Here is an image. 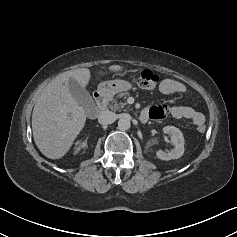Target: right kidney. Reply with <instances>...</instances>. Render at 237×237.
Here are the masks:
<instances>
[{
  "label": "right kidney",
  "instance_id": "ca27d5eb",
  "mask_svg": "<svg viewBox=\"0 0 237 237\" xmlns=\"http://www.w3.org/2000/svg\"><path fill=\"white\" fill-rule=\"evenodd\" d=\"M76 145H78V143H76ZM87 147V141L85 140L84 142H82L81 144L78 145V147L74 148V153H78V151H80L82 148Z\"/></svg>",
  "mask_w": 237,
  "mask_h": 237
}]
</instances>
